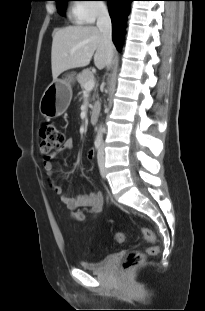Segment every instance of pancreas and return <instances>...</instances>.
I'll use <instances>...</instances> for the list:
<instances>
[{
	"label": "pancreas",
	"instance_id": "cf45deb5",
	"mask_svg": "<svg viewBox=\"0 0 205 311\" xmlns=\"http://www.w3.org/2000/svg\"><path fill=\"white\" fill-rule=\"evenodd\" d=\"M93 78L94 75L89 69H85L77 75V81L80 84L81 88H84L86 82H88Z\"/></svg>",
	"mask_w": 205,
	"mask_h": 311
}]
</instances>
